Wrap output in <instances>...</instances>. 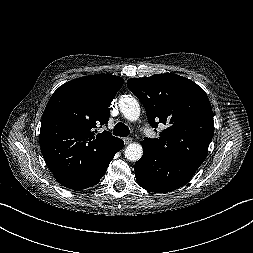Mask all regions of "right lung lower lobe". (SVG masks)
Returning a JSON list of instances; mask_svg holds the SVG:
<instances>
[{"label":"right lung lower lobe","instance_id":"98d812e1","mask_svg":"<svg viewBox=\"0 0 253 253\" xmlns=\"http://www.w3.org/2000/svg\"><path fill=\"white\" fill-rule=\"evenodd\" d=\"M124 143L121 140L108 156L101 162L90 165L86 168L77 170L72 173L54 174V178L64 187L69 189H86L96 185L100 179L104 176L110 162L114 155L123 148Z\"/></svg>","mask_w":253,"mask_h":253}]
</instances>
